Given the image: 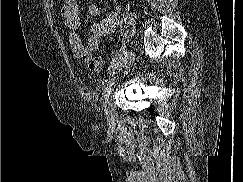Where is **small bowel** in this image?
Instances as JSON below:
<instances>
[{
    "label": "small bowel",
    "instance_id": "small-bowel-1",
    "mask_svg": "<svg viewBox=\"0 0 243 182\" xmlns=\"http://www.w3.org/2000/svg\"><path fill=\"white\" fill-rule=\"evenodd\" d=\"M109 2L118 4V0H109ZM99 13L100 8L98 5L92 4L88 7L90 16H98ZM61 16L64 20V28L74 57L80 61L88 62L93 52L99 48L101 38L113 32L117 26L119 22V6H117L115 11L110 12L106 18L91 25V34L85 43H83L78 33L82 23L81 8L78 1L63 0Z\"/></svg>",
    "mask_w": 243,
    "mask_h": 182
}]
</instances>
